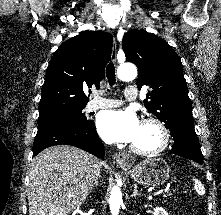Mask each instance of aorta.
Here are the masks:
<instances>
[{
  "label": "aorta",
  "instance_id": "aorta-1",
  "mask_svg": "<svg viewBox=\"0 0 221 215\" xmlns=\"http://www.w3.org/2000/svg\"><path fill=\"white\" fill-rule=\"evenodd\" d=\"M118 78L122 81H132L137 76V68L135 65L127 63L121 65L117 69ZM120 180L117 181V186H114L111 190L110 198H109V206L112 215H118L120 206L123 203L122 201V192L119 188Z\"/></svg>",
  "mask_w": 221,
  "mask_h": 215
}]
</instances>
